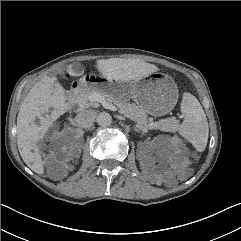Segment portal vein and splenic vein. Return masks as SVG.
<instances>
[{
	"instance_id": "1",
	"label": "portal vein and splenic vein",
	"mask_w": 241,
	"mask_h": 241,
	"mask_svg": "<svg viewBox=\"0 0 241 241\" xmlns=\"http://www.w3.org/2000/svg\"><path fill=\"white\" fill-rule=\"evenodd\" d=\"M92 98H93L95 101L102 103V105H103L105 108H107V109H110V110H112V111H116V110H117V108H116L114 105L107 103V102L105 101V98L102 97L101 95L95 94V95L92 96ZM159 123H160V121H159V122H151V123L148 124V127H149V128H153L154 126L159 125Z\"/></svg>"
}]
</instances>
